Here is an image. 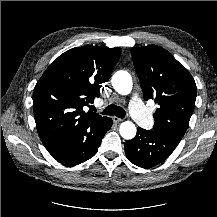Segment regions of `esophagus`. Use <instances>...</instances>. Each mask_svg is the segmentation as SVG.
Listing matches in <instances>:
<instances>
[{
    "instance_id": "esophagus-1",
    "label": "esophagus",
    "mask_w": 217,
    "mask_h": 217,
    "mask_svg": "<svg viewBox=\"0 0 217 217\" xmlns=\"http://www.w3.org/2000/svg\"><path fill=\"white\" fill-rule=\"evenodd\" d=\"M112 120H113L114 123H119V122L122 121L121 118H118V117H116V116H114V117L112 118Z\"/></svg>"
}]
</instances>
